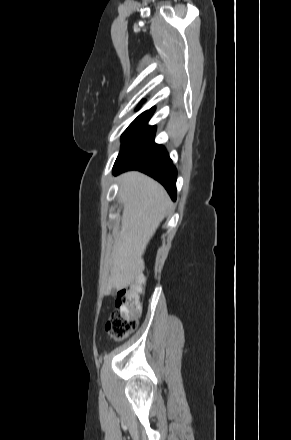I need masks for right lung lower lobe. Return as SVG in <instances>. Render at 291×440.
I'll return each instance as SVG.
<instances>
[{
  "instance_id": "right-lung-lower-lobe-1",
  "label": "right lung lower lobe",
  "mask_w": 291,
  "mask_h": 440,
  "mask_svg": "<svg viewBox=\"0 0 291 440\" xmlns=\"http://www.w3.org/2000/svg\"><path fill=\"white\" fill-rule=\"evenodd\" d=\"M155 108L150 109L136 130L122 146L113 167L114 175L139 170L158 180L176 200L177 171L162 145L154 143L155 126L147 123Z\"/></svg>"
}]
</instances>
